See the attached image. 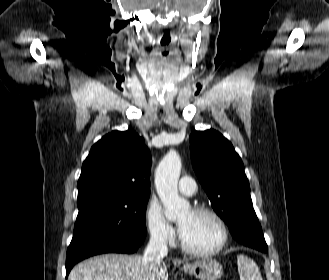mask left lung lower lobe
<instances>
[{
    "label": "left lung lower lobe",
    "mask_w": 329,
    "mask_h": 280,
    "mask_svg": "<svg viewBox=\"0 0 329 280\" xmlns=\"http://www.w3.org/2000/svg\"><path fill=\"white\" fill-rule=\"evenodd\" d=\"M231 234L237 241L243 240L245 237H249L250 235L263 236L262 229L257 219V216L254 217V219L249 225H247L246 227L245 226L237 227L232 231ZM245 245L260 250L262 252L268 251V247L267 245L264 244V242H262L261 245H250V244L248 245L245 244Z\"/></svg>",
    "instance_id": "obj_1"
}]
</instances>
